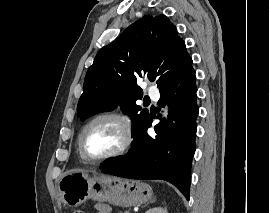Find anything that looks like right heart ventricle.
<instances>
[{
    "mask_svg": "<svg viewBox=\"0 0 270 213\" xmlns=\"http://www.w3.org/2000/svg\"><path fill=\"white\" fill-rule=\"evenodd\" d=\"M77 147H78V141H77ZM78 152H79V147H78ZM79 155H80V157H81L83 160H85V159L81 156L80 152H79Z\"/></svg>",
    "mask_w": 270,
    "mask_h": 213,
    "instance_id": "right-heart-ventricle-1",
    "label": "right heart ventricle"
}]
</instances>
